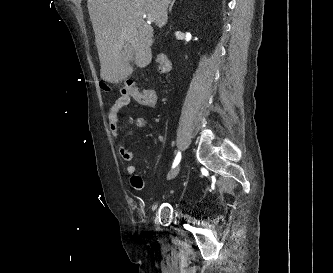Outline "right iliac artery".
I'll return each mask as SVG.
<instances>
[{"mask_svg":"<svg viewBox=\"0 0 333 273\" xmlns=\"http://www.w3.org/2000/svg\"><path fill=\"white\" fill-rule=\"evenodd\" d=\"M180 160H181V153L178 152L173 162L172 168L176 167L179 164Z\"/></svg>","mask_w":333,"mask_h":273,"instance_id":"obj_1","label":"right iliac artery"}]
</instances>
